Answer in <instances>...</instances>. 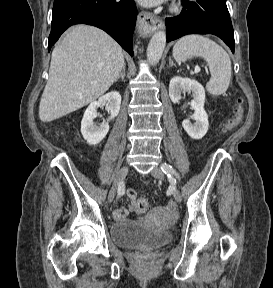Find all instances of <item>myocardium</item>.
Listing matches in <instances>:
<instances>
[{
  "label": "myocardium",
  "instance_id": "f54148a6",
  "mask_svg": "<svg viewBox=\"0 0 273 288\" xmlns=\"http://www.w3.org/2000/svg\"><path fill=\"white\" fill-rule=\"evenodd\" d=\"M173 10H174V11H178V10H179V6H178V5H175V6L173 7Z\"/></svg>",
  "mask_w": 273,
  "mask_h": 288
}]
</instances>
